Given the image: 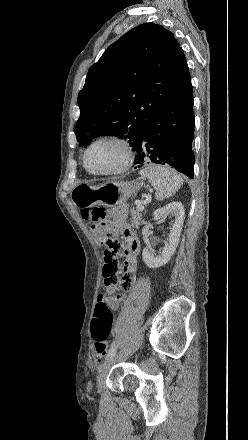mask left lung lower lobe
<instances>
[{
    "mask_svg": "<svg viewBox=\"0 0 248 440\" xmlns=\"http://www.w3.org/2000/svg\"><path fill=\"white\" fill-rule=\"evenodd\" d=\"M194 126L193 92L190 82L146 125L134 147L138 153L134 164L141 167L151 161L171 166L193 178Z\"/></svg>",
    "mask_w": 248,
    "mask_h": 440,
    "instance_id": "0a47b994",
    "label": "left lung lower lobe"
}]
</instances>
